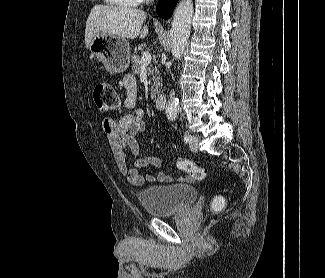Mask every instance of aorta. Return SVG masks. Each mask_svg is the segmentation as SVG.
Instances as JSON below:
<instances>
[{
    "instance_id": "1",
    "label": "aorta",
    "mask_w": 325,
    "mask_h": 278,
    "mask_svg": "<svg viewBox=\"0 0 325 278\" xmlns=\"http://www.w3.org/2000/svg\"><path fill=\"white\" fill-rule=\"evenodd\" d=\"M194 7L192 0H182L174 11L171 23L172 55L178 60L183 55L190 35L191 19ZM179 101L171 99L166 105V116L170 120L177 118Z\"/></svg>"
}]
</instances>
